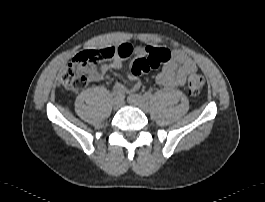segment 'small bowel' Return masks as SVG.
<instances>
[{
  "mask_svg": "<svg viewBox=\"0 0 265 202\" xmlns=\"http://www.w3.org/2000/svg\"><path fill=\"white\" fill-rule=\"evenodd\" d=\"M110 48L114 51L115 56L109 58L108 63L101 65L99 69L87 67L86 74L90 82H96L103 78L104 74L110 70H118L122 67L123 61L133 54H142L144 48L135 47L130 43H123L118 46L104 47L101 49ZM197 71L195 61L184 51L174 50L171 59L163 66L157 76V82L163 87H182L186 84L189 74ZM132 75L128 74L127 78L131 79ZM141 83L136 80L133 86V91L140 89ZM115 90L125 91L121 83L114 84Z\"/></svg>",
  "mask_w": 265,
  "mask_h": 202,
  "instance_id": "1",
  "label": "small bowel"
}]
</instances>
